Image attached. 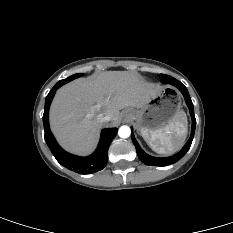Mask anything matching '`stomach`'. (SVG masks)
Here are the masks:
<instances>
[{
    "instance_id": "obj_1",
    "label": "stomach",
    "mask_w": 233,
    "mask_h": 233,
    "mask_svg": "<svg viewBox=\"0 0 233 233\" xmlns=\"http://www.w3.org/2000/svg\"><path fill=\"white\" fill-rule=\"evenodd\" d=\"M183 108L182 94L175 88L163 87L158 89L143 106L127 108L124 116L140 132H150L171 123L182 113Z\"/></svg>"
}]
</instances>
